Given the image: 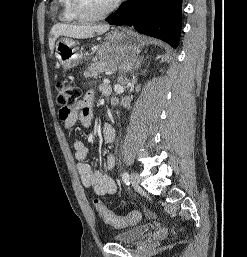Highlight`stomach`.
<instances>
[{
  "label": "stomach",
  "instance_id": "obj_1",
  "mask_svg": "<svg viewBox=\"0 0 247 257\" xmlns=\"http://www.w3.org/2000/svg\"><path fill=\"white\" fill-rule=\"evenodd\" d=\"M56 58L65 68H72L81 63L77 41L61 38L56 43ZM101 60L113 63L121 70H130L137 61V50L131 45L130 34L124 30H112L106 34L105 43L100 48Z\"/></svg>",
  "mask_w": 247,
  "mask_h": 257
}]
</instances>
